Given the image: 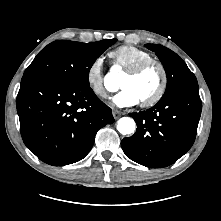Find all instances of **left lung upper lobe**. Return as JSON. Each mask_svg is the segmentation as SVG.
Listing matches in <instances>:
<instances>
[{
	"label": "left lung upper lobe",
	"mask_w": 221,
	"mask_h": 221,
	"mask_svg": "<svg viewBox=\"0 0 221 221\" xmlns=\"http://www.w3.org/2000/svg\"><path fill=\"white\" fill-rule=\"evenodd\" d=\"M145 46L156 53L166 72L167 87L162 98L180 90H198L195 75L175 52L162 45L146 44Z\"/></svg>",
	"instance_id": "5c2ea615"
}]
</instances>
